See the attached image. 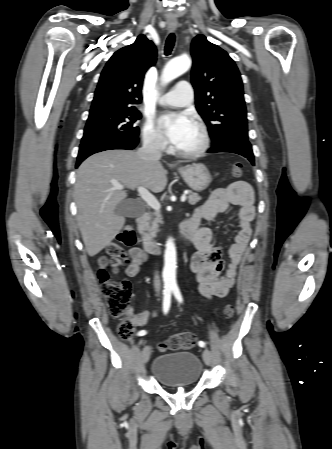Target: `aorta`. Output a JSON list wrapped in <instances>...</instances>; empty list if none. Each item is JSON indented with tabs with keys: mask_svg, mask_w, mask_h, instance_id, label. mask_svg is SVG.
<instances>
[{
	"mask_svg": "<svg viewBox=\"0 0 332 449\" xmlns=\"http://www.w3.org/2000/svg\"><path fill=\"white\" fill-rule=\"evenodd\" d=\"M191 67V59L186 56H179L170 60L161 75V83L168 84L175 78L185 73ZM164 283L170 286L176 285V247L172 238L166 242L164 252V268H163Z\"/></svg>",
	"mask_w": 332,
	"mask_h": 449,
	"instance_id": "762f6f07",
	"label": "aorta"
}]
</instances>
